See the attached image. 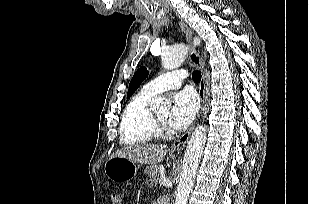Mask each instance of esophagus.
I'll return each instance as SVG.
<instances>
[{
  "mask_svg": "<svg viewBox=\"0 0 309 204\" xmlns=\"http://www.w3.org/2000/svg\"><path fill=\"white\" fill-rule=\"evenodd\" d=\"M180 27H181L182 31L185 33L186 39H187L189 45L191 46L189 58H190L191 62L196 67H198L200 69L201 74H202L201 82L199 84V97H200V100H201V109H202V107L205 103V94H206V78H205L204 63H203L202 58L200 57L199 53L191 45V39H192L191 29L184 22H180ZM198 117H199V114H198L197 118ZM193 128H194V125L187 132H185L183 135H181L179 138H177L174 141V143L172 144V149L182 150L185 147L186 143L188 142V139L191 135Z\"/></svg>",
  "mask_w": 309,
  "mask_h": 204,
  "instance_id": "34e87169",
  "label": "esophagus"
}]
</instances>
